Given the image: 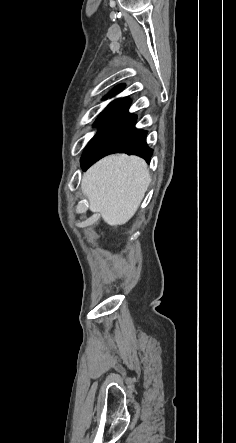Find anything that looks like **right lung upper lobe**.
<instances>
[{"instance_id":"obj_1","label":"right lung upper lobe","mask_w":236,"mask_h":443,"mask_svg":"<svg viewBox=\"0 0 236 443\" xmlns=\"http://www.w3.org/2000/svg\"><path fill=\"white\" fill-rule=\"evenodd\" d=\"M124 87H125L124 84L118 85L106 97H110V96L115 95L116 93L122 91L124 89Z\"/></svg>"}]
</instances>
